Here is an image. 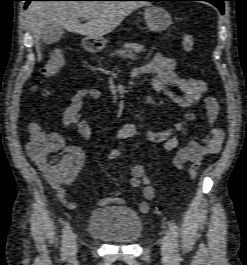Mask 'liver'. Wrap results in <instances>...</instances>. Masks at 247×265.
Here are the masks:
<instances>
[{
  "mask_svg": "<svg viewBox=\"0 0 247 265\" xmlns=\"http://www.w3.org/2000/svg\"><path fill=\"white\" fill-rule=\"evenodd\" d=\"M145 5L149 4L142 1H32L26 17L40 58L39 39L46 25H59L69 32L99 39L115 30L134 10ZM83 16H89V21L81 25L79 18Z\"/></svg>",
  "mask_w": 247,
  "mask_h": 265,
  "instance_id": "obj_1",
  "label": "liver"
}]
</instances>
